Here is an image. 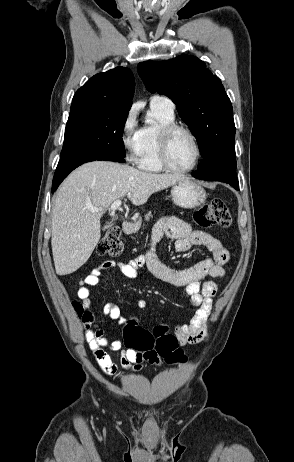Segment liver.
<instances>
[{"mask_svg": "<svg viewBox=\"0 0 294 462\" xmlns=\"http://www.w3.org/2000/svg\"><path fill=\"white\" fill-rule=\"evenodd\" d=\"M185 178L183 174H155L106 161L85 163L73 171L57 191L52 209V253L60 276L78 270L101 237L100 218L116 200L127 195L143 205L158 191ZM95 207L99 212H91Z\"/></svg>", "mask_w": 294, "mask_h": 462, "instance_id": "obj_1", "label": "liver"}]
</instances>
